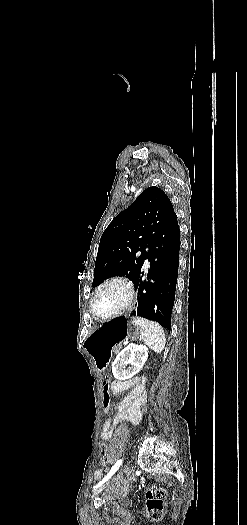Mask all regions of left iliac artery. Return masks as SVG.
<instances>
[{
  "instance_id": "1",
  "label": "left iliac artery",
  "mask_w": 247,
  "mask_h": 525,
  "mask_svg": "<svg viewBox=\"0 0 247 525\" xmlns=\"http://www.w3.org/2000/svg\"><path fill=\"white\" fill-rule=\"evenodd\" d=\"M122 461L123 459H120L118 460L114 465L113 467L111 468V470L108 472V474L104 477V479L102 481H100L93 489L95 490L96 488H98L100 485H102L104 482H106L117 470L118 468L121 466L122 464Z\"/></svg>"
}]
</instances>
